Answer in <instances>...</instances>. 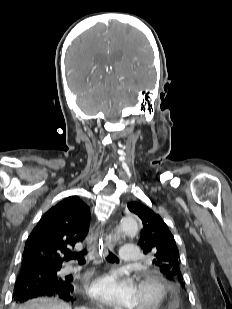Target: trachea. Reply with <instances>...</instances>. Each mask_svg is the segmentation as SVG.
<instances>
[{
	"instance_id": "3493384b",
	"label": "trachea",
	"mask_w": 232,
	"mask_h": 309,
	"mask_svg": "<svg viewBox=\"0 0 232 309\" xmlns=\"http://www.w3.org/2000/svg\"><path fill=\"white\" fill-rule=\"evenodd\" d=\"M87 254V250H84L82 252H74L72 253V258L77 259L79 264H83L85 263V255ZM108 261H119L118 257L116 255H114L113 253H109V255L106 258Z\"/></svg>"
}]
</instances>
